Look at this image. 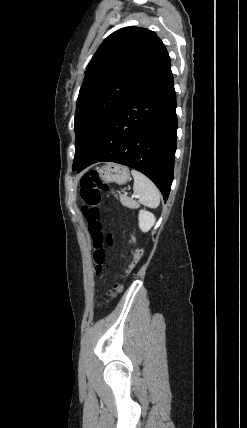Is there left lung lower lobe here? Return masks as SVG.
<instances>
[{"mask_svg": "<svg viewBox=\"0 0 247 428\" xmlns=\"http://www.w3.org/2000/svg\"><path fill=\"white\" fill-rule=\"evenodd\" d=\"M177 127L169 61L146 86L120 104L88 156L73 165V170L80 172L100 161L132 167L154 182L166 202L173 181Z\"/></svg>", "mask_w": 247, "mask_h": 428, "instance_id": "1", "label": "left lung lower lobe"}]
</instances>
